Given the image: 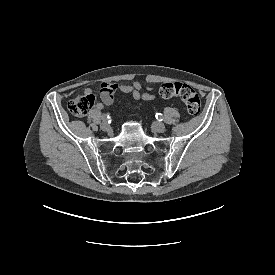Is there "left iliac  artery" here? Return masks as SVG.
<instances>
[{"label":"left iliac artery","mask_w":275,"mask_h":275,"mask_svg":"<svg viewBox=\"0 0 275 275\" xmlns=\"http://www.w3.org/2000/svg\"><path fill=\"white\" fill-rule=\"evenodd\" d=\"M156 118L159 120V121H163L164 117L161 113H156Z\"/></svg>","instance_id":"left-iliac-artery-1"}]
</instances>
